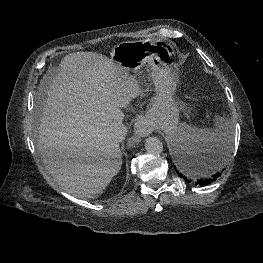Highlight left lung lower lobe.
<instances>
[{"instance_id": "0a47b994", "label": "left lung lower lobe", "mask_w": 263, "mask_h": 263, "mask_svg": "<svg viewBox=\"0 0 263 263\" xmlns=\"http://www.w3.org/2000/svg\"><path fill=\"white\" fill-rule=\"evenodd\" d=\"M221 153L222 147L217 144H209L194 153L177 149L175 151V168L178 176L195 186L209 185L221 176L217 170L211 171L209 169Z\"/></svg>"}]
</instances>
